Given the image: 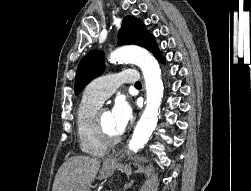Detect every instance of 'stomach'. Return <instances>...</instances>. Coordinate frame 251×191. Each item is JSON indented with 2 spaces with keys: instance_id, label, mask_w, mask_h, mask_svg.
Returning <instances> with one entry per match:
<instances>
[{
  "instance_id": "stomach-1",
  "label": "stomach",
  "mask_w": 251,
  "mask_h": 191,
  "mask_svg": "<svg viewBox=\"0 0 251 191\" xmlns=\"http://www.w3.org/2000/svg\"><path fill=\"white\" fill-rule=\"evenodd\" d=\"M116 167H121V163H118V159H116L114 165H112V167H106V165H103L100 173H99V177L98 179H105V177H109V175H112L114 169H116ZM91 187H93V185H91ZM91 187H87V189H81V191H91Z\"/></svg>"
}]
</instances>
